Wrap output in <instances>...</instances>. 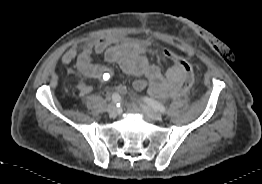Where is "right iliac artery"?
<instances>
[{"mask_svg": "<svg viewBox=\"0 0 262 184\" xmlns=\"http://www.w3.org/2000/svg\"><path fill=\"white\" fill-rule=\"evenodd\" d=\"M112 101L116 106H119L121 103V97L118 93H113L112 95Z\"/></svg>", "mask_w": 262, "mask_h": 184, "instance_id": "right-iliac-artery-1", "label": "right iliac artery"}]
</instances>
